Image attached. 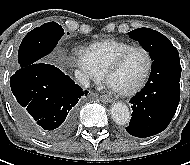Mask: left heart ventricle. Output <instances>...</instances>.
<instances>
[{
    "label": "left heart ventricle",
    "instance_id": "obj_1",
    "mask_svg": "<svg viewBox=\"0 0 190 165\" xmlns=\"http://www.w3.org/2000/svg\"><path fill=\"white\" fill-rule=\"evenodd\" d=\"M148 60L141 50H133L126 55L118 69L109 79L110 86L125 90L136 85L143 77Z\"/></svg>",
    "mask_w": 190,
    "mask_h": 165
}]
</instances>
